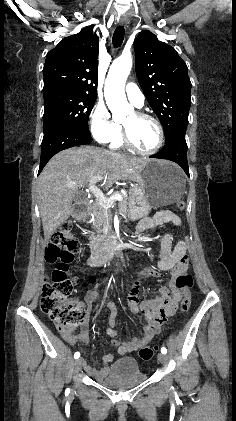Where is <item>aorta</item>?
Wrapping results in <instances>:
<instances>
[{
  "mask_svg": "<svg viewBox=\"0 0 236 421\" xmlns=\"http://www.w3.org/2000/svg\"><path fill=\"white\" fill-rule=\"evenodd\" d=\"M131 68V54H121V56L113 60L109 68L104 90L105 100L112 112L114 110V104H119V102L126 100L124 86Z\"/></svg>",
  "mask_w": 236,
  "mask_h": 421,
  "instance_id": "762f6f07",
  "label": "aorta"
}]
</instances>
